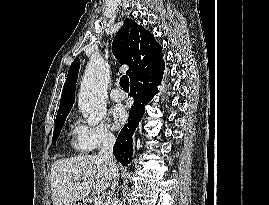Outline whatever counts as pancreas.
<instances>
[{
    "label": "pancreas",
    "instance_id": "cf45deb5",
    "mask_svg": "<svg viewBox=\"0 0 269 205\" xmlns=\"http://www.w3.org/2000/svg\"><path fill=\"white\" fill-rule=\"evenodd\" d=\"M87 201L90 203V205H94L91 199H88Z\"/></svg>",
    "mask_w": 269,
    "mask_h": 205
}]
</instances>
